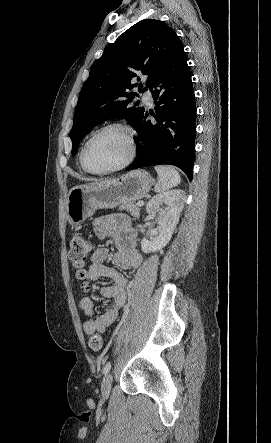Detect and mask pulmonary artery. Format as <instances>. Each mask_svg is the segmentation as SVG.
I'll list each match as a JSON object with an SVG mask.
<instances>
[{
	"instance_id": "obj_1",
	"label": "pulmonary artery",
	"mask_w": 271,
	"mask_h": 443,
	"mask_svg": "<svg viewBox=\"0 0 271 443\" xmlns=\"http://www.w3.org/2000/svg\"><path fill=\"white\" fill-rule=\"evenodd\" d=\"M143 101L147 104V105H149V106H153L154 105V97H153V94H152V92L151 91H146L144 94H143Z\"/></svg>"
}]
</instances>
